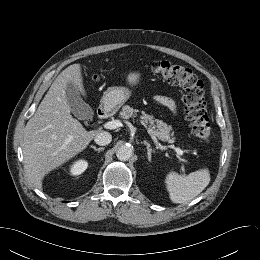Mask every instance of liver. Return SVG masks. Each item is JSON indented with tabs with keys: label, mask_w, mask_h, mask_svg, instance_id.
<instances>
[{
	"label": "liver",
	"mask_w": 260,
	"mask_h": 260,
	"mask_svg": "<svg viewBox=\"0 0 260 260\" xmlns=\"http://www.w3.org/2000/svg\"><path fill=\"white\" fill-rule=\"evenodd\" d=\"M86 92L80 64H72L54 80L23 132L25 170L30 183L42 189V180L53 169L83 151L99 131H87L71 115L67 83Z\"/></svg>",
	"instance_id": "6515ba94"
}]
</instances>
